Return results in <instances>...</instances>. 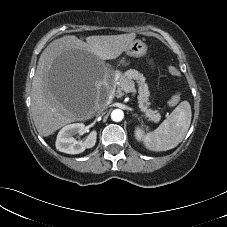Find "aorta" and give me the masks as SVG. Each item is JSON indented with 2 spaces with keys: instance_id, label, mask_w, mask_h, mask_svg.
Returning <instances> with one entry per match:
<instances>
[{
  "instance_id": "762f6f07",
  "label": "aorta",
  "mask_w": 227,
  "mask_h": 227,
  "mask_svg": "<svg viewBox=\"0 0 227 227\" xmlns=\"http://www.w3.org/2000/svg\"><path fill=\"white\" fill-rule=\"evenodd\" d=\"M124 118V112L120 109H115L112 111L111 113V119L114 121V122H120L122 121Z\"/></svg>"
}]
</instances>
